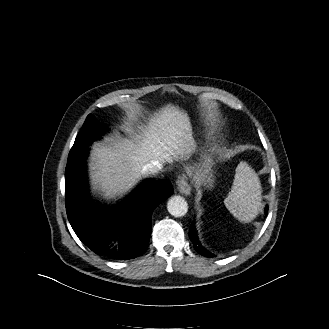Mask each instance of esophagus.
I'll use <instances>...</instances> for the list:
<instances>
[{
  "label": "esophagus",
  "mask_w": 329,
  "mask_h": 329,
  "mask_svg": "<svg viewBox=\"0 0 329 329\" xmlns=\"http://www.w3.org/2000/svg\"><path fill=\"white\" fill-rule=\"evenodd\" d=\"M178 190L181 194L189 195L191 192L190 184L188 183V179L186 175H181L177 179Z\"/></svg>",
  "instance_id": "esophagus-1"
}]
</instances>
